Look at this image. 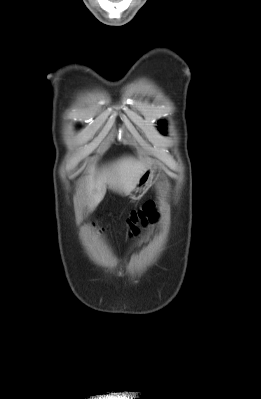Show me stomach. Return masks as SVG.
<instances>
[{"label":"stomach","instance_id":"obj_1","mask_svg":"<svg viewBox=\"0 0 261 399\" xmlns=\"http://www.w3.org/2000/svg\"><path fill=\"white\" fill-rule=\"evenodd\" d=\"M154 176V169L150 166L146 169V171L142 174L141 178L139 179L134 192H139L145 189L152 181Z\"/></svg>","mask_w":261,"mask_h":399}]
</instances>
